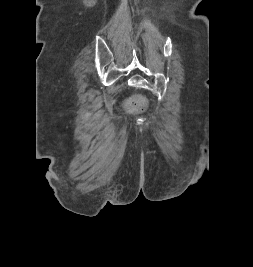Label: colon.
Segmentation results:
<instances>
[{
	"label": "colon",
	"instance_id": "obj_1",
	"mask_svg": "<svg viewBox=\"0 0 253 267\" xmlns=\"http://www.w3.org/2000/svg\"><path fill=\"white\" fill-rule=\"evenodd\" d=\"M145 106V101L141 97H134L128 101V107L132 110H139Z\"/></svg>",
	"mask_w": 253,
	"mask_h": 267
}]
</instances>
